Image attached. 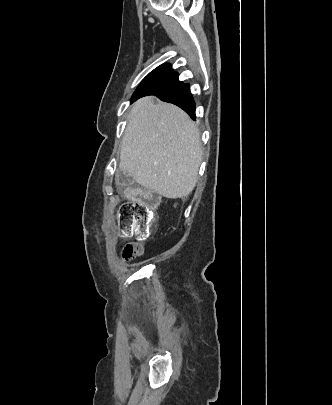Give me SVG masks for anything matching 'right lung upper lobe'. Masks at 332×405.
Returning <instances> with one entry per match:
<instances>
[{"label": "right lung upper lobe", "instance_id": "obj_1", "mask_svg": "<svg viewBox=\"0 0 332 405\" xmlns=\"http://www.w3.org/2000/svg\"><path fill=\"white\" fill-rule=\"evenodd\" d=\"M152 72L178 77V74L172 71L170 64H162V65L158 66L157 68H155Z\"/></svg>", "mask_w": 332, "mask_h": 405}]
</instances>
